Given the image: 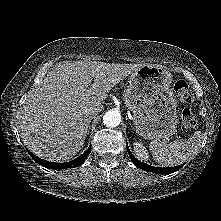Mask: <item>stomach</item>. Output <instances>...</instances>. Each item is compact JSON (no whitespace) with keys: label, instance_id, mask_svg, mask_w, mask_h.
<instances>
[{"label":"stomach","instance_id":"1","mask_svg":"<svg viewBox=\"0 0 221 221\" xmlns=\"http://www.w3.org/2000/svg\"><path fill=\"white\" fill-rule=\"evenodd\" d=\"M172 74L161 65H143L132 72L124 93L136 132L145 139H166L176 133L177 102Z\"/></svg>","mask_w":221,"mask_h":221}]
</instances>
